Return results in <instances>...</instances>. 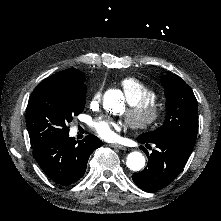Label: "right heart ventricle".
Here are the masks:
<instances>
[{"label": "right heart ventricle", "instance_id": "1", "mask_svg": "<svg viewBox=\"0 0 221 221\" xmlns=\"http://www.w3.org/2000/svg\"><path fill=\"white\" fill-rule=\"evenodd\" d=\"M159 94L160 91L157 88L139 82L136 91L128 94L127 99L132 107L137 108L139 105L147 103L151 98L158 97Z\"/></svg>", "mask_w": 221, "mask_h": 221}]
</instances>
